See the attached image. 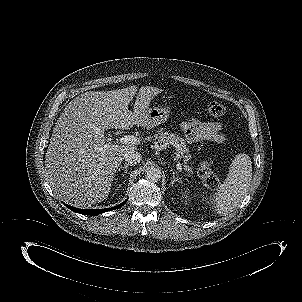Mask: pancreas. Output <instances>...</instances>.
<instances>
[{
    "label": "pancreas",
    "instance_id": "obj_1",
    "mask_svg": "<svg viewBox=\"0 0 302 302\" xmlns=\"http://www.w3.org/2000/svg\"><path fill=\"white\" fill-rule=\"evenodd\" d=\"M154 138L157 139V141L162 145L174 146L177 154L180 156L179 158L182 159L184 169L189 173L192 172V168L188 165L191 159V155L189 153L187 143L183 138L174 133L165 132L163 128H160L157 131V134L154 135Z\"/></svg>",
    "mask_w": 302,
    "mask_h": 302
}]
</instances>
